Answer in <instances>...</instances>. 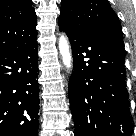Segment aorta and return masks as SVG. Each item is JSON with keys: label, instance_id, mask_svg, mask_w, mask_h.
I'll list each match as a JSON object with an SVG mask.
<instances>
[{"label": "aorta", "instance_id": "762f6f07", "mask_svg": "<svg viewBox=\"0 0 136 136\" xmlns=\"http://www.w3.org/2000/svg\"><path fill=\"white\" fill-rule=\"evenodd\" d=\"M59 51L62 56V60L65 67L68 70H70L72 67V56L70 52V45L67 37L63 34L59 38Z\"/></svg>", "mask_w": 136, "mask_h": 136}]
</instances>
